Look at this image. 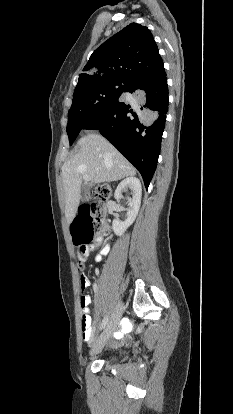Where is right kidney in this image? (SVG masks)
Returning a JSON list of instances; mask_svg holds the SVG:
<instances>
[{"label":"right kidney","mask_w":233,"mask_h":414,"mask_svg":"<svg viewBox=\"0 0 233 414\" xmlns=\"http://www.w3.org/2000/svg\"><path fill=\"white\" fill-rule=\"evenodd\" d=\"M127 188L132 191V198L128 199L127 219L125 221L115 219L112 222L113 231L117 236H122L126 229L135 221L141 205L142 188L139 179L136 177H128L119 183L115 190V199L120 200L122 192Z\"/></svg>","instance_id":"ca27d5eb"}]
</instances>
